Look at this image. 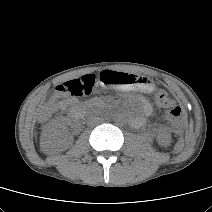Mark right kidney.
Segmentation results:
<instances>
[{"label":"right kidney","mask_w":212,"mask_h":212,"mask_svg":"<svg viewBox=\"0 0 212 212\" xmlns=\"http://www.w3.org/2000/svg\"><path fill=\"white\" fill-rule=\"evenodd\" d=\"M69 138L65 140V144L68 145ZM62 142V133L57 129L47 130L44 137L41 139L42 148H53Z\"/></svg>","instance_id":"obj_1"}]
</instances>
